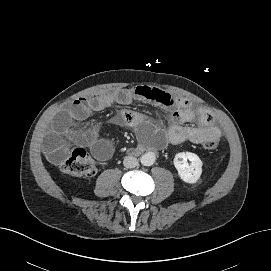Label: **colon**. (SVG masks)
<instances>
[{"label": "colon", "mask_w": 271, "mask_h": 271, "mask_svg": "<svg viewBox=\"0 0 271 271\" xmlns=\"http://www.w3.org/2000/svg\"><path fill=\"white\" fill-rule=\"evenodd\" d=\"M220 143V137H208L202 142L206 150H214ZM60 168L62 172L74 177H89L95 174L96 166L92 158L84 149H75L71 155L65 159Z\"/></svg>", "instance_id": "5ec220e1"}]
</instances>
